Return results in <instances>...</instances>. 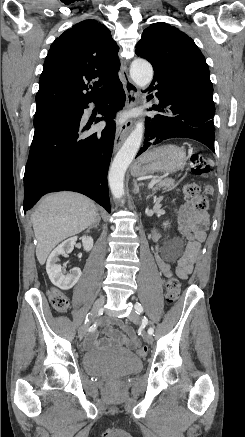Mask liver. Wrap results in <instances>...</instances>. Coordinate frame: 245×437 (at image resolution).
Returning <instances> with one entry per match:
<instances>
[{"label":"liver","instance_id":"1","mask_svg":"<svg viewBox=\"0 0 245 437\" xmlns=\"http://www.w3.org/2000/svg\"><path fill=\"white\" fill-rule=\"evenodd\" d=\"M97 216L95 204L81 194L60 192L43 198L31 215L39 263L43 265L61 241L93 225Z\"/></svg>","mask_w":245,"mask_h":437}]
</instances>
